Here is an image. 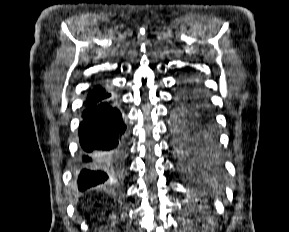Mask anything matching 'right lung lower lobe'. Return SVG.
Wrapping results in <instances>:
<instances>
[{"label":"right lung lower lobe","instance_id":"1","mask_svg":"<svg viewBox=\"0 0 289 232\" xmlns=\"http://www.w3.org/2000/svg\"><path fill=\"white\" fill-rule=\"evenodd\" d=\"M78 188L104 183L126 148V123L111 96L87 99L79 126Z\"/></svg>","mask_w":289,"mask_h":232}]
</instances>
